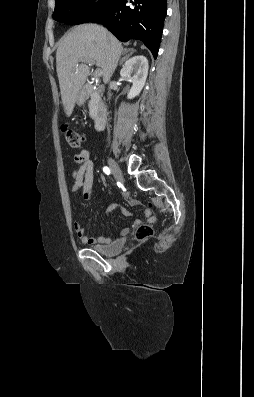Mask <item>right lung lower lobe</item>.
I'll return each mask as SVG.
<instances>
[{"label":"right lung lower lobe","instance_id":"1","mask_svg":"<svg viewBox=\"0 0 254 397\" xmlns=\"http://www.w3.org/2000/svg\"><path fill=\"white\" fill-rule=\"evenodd\" d=\"M134 1L114 0L106 11L90 22L103 24L120 41L141 40L156 58L167 12L166 0ZM128 2L133 6H127Z\"/></svg>","mask_w":254,"mask_h":397}]
</instances>
